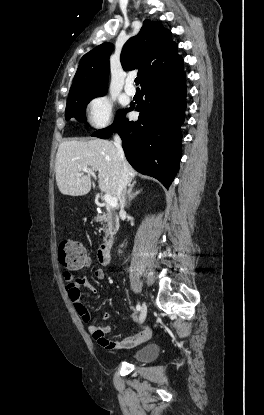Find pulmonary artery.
<instances>
[{"mask_svg":"<svg viewBox=\"0 0 264 415\" xmlns=\"http://www.w3.org/2000/svg\"><path fill=\"white\" fill-rule=\"evenodd\" d=\"M134 78L129 76L125 81V92L133 96L136 93V88L133 86Z\"/></svg>","mask_w":264,"mask_h":415,"instance_id":"1","label":"pulmonary artery"}]
</instances>
